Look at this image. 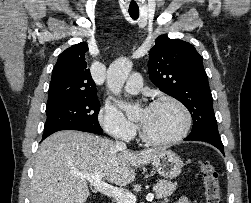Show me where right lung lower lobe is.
I'll list each match as a JSON object with an SVG mask.
<instances>
[{
	"label": "right lung lower lobe",
	"mask_w": 251,
	"mask_h": 203,
	"mask_svg": "<svg viewBox=\"0 0 251 203\" xmlns=\"http://www.w3.org/2000/svg\"><path fill=\"white\" fill-rule=\"evenodd\" d=\"M60 130H78V131L91 132V131H89L87 129H84L82 127L70 126V127H67V128H58V129H54V130L44 132L42 140L45 139L47 136L53 134L54 132H57V131H60ZM91 133H93V132H91Z\"/></svg>",
	"instance_id": "obj_1"
}]
</instances>
